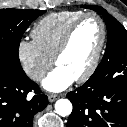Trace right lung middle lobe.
<instances>
[{"instance_id": "dd1d6c3e", "label": "right lung middle lobe", "mask_w": 127, "mask_h": 127, "mask_svg": "<svg viewBox=\"0 0 127 127\" xmlns=\"http://www.w3.org/2000/svg\"><path fill=\"white\" fill-rule=\"evenodd\" d=\"M45 10L0 9V60L21 69L18 50L22 34Z\"/></svg>"}]
</instances>
